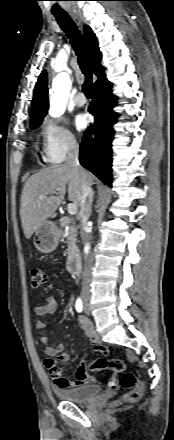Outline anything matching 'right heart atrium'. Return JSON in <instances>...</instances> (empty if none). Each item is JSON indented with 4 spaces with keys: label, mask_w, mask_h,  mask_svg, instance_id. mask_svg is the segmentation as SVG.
Segmentation results:
<instances>
[{
    "label": "right heart atrium",
    "mask_w": 174,
    "mask_h": 440,
    "mask_svg": "<svg viewBox=\"0 0 174 440\" xmlns=\"http://www.w3.org/2000/svg\"><path fill=\"white\" fill-rule=\"evenodd\" d=\"M43 154L47 163L62 162L68 153L78 148L75 134L63 123L46 118L42 123Z\"/></svg>",
    "instance_id": "right-heart-atrium-1"
}]
</instances>
